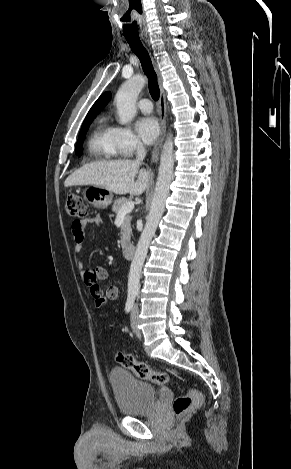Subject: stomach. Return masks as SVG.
<instances>
[{
	"mask_svg": "<svg viewBox=\"0 0 291 469\" xmlns=\"http://www.w3.org/2000/svg\"><path fill=\"white\" fill-rule=\"evenodd\" d=\"M84 199L98 209L107 208L113 200L111 191L95 185H90L84 190Z\"/></svg>",
	"mask_w": 291,
	"mask_h": 469,
	"instance_id": "stomach-1",
	"label": "stomach"
}]
</instances>
